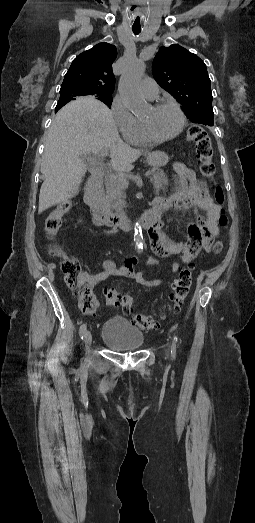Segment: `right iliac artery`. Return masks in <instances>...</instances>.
Instances as JSON below:
<instances>
[{
  "instance_id": "obj_1",
  "label": "right iliac artery",
  "mask_w": 255,
  "mask_h": 523,
  "mask_svg": "<svg viewBox=\"0 0 255 523\" xmlns=\"http://www.w3.org/2000/svg\"><path fill=\"white\" fill-rule=\"evenodd\" d=\"M85 332H86V324H82L80 326V329H79V333H80V337L81 339H83L84 335H85Z\"/></svg>"
}]
</instances>
